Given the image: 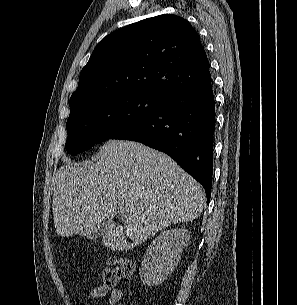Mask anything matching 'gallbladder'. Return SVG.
Here are the masks:
<instances>
[{
    "label": "gallbladder",
    "mask_w": 297,
    "mask_h": 305,
    "mask_svg": "<svg viewBox=\"0 0 297 305\" xmlns=\"http://www.w3.org/2000/svg\"><path fill=\"white\" fill-rule=\"evenodd\" d=\"M116 228V224L112 221H103L99 225H97L90 233L82 234V236L94 240L101 236H104L105 234L109 233L113 229Z\"/></svg>",
    "instance_id": "1"
}]
</instances>
